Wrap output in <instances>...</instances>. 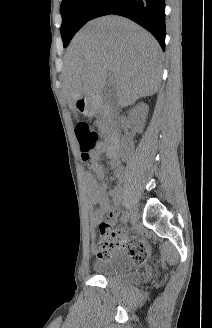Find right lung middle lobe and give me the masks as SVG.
Masks as SVG:
<instances>
[{"label":"right lung middle lobe","instance_id":"dd1d6c3e","mask_svg":"<svg viewBox=\"0 0 212 328\" xmlns=\"http://www.w3.org/2000/svg\"><path fill=\"white\" fill-rule=\"evenodd\" d=\"M101 0H63L60 6L62 16L61 37L64 47L75 33L89 20Z\"/></svg>","mask_w":212,"mask_h":328}]
</instances>
